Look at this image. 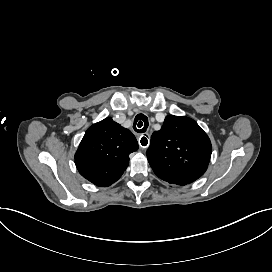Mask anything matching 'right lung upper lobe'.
<instances>
[{
  "mask_svg": "<svg viewBox=\"0 0 272 272\" xmlns=\"http://www.w3.org/2000/svg\"><path fill=\"white\" fill-rule=\"evenodd\" d=\"M130 130L106 118L87 129L75 154L80 174L93 184L106 187L116 182L138 149Z\"/></svg>",
  "mask_w": 272,
  "mask_h": 272,
  "instance_id": "1",
  "label": "right lung upper lobe"
}]
</instances>
